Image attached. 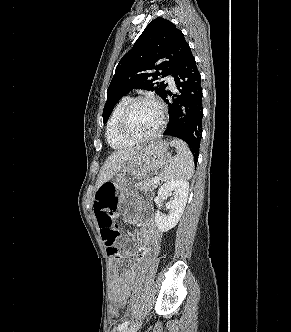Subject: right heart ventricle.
Listing matches in <instances>:
<instances>
[{"instance_id": "right-heart-ventricle-1", "label": "right heart ventricle", "mask_w": 291, "mask_h": 332, "mask_svg": "<svg viewBox=\"0 0 291 332\" xmlns=\"http://www.w3.org/2000/svg\"><path fill=\"white\" fill-rule=\"evenodd\" d=\"M131 99L129 97H123L120 101L116 104L111 117L108 121L107 128H106V138L108 144L113 149H124L129 146H132L133 143L125 140L119 133L118 123L119 118L121 116L122 111L124 110L125 106Z\"/></svg>"}]
</instances>
